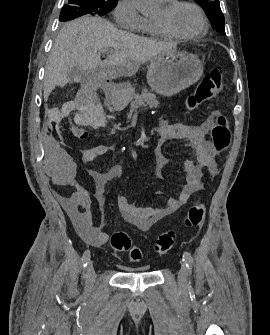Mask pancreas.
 I'll use <instances>...</instances> for the list:
<instances>
[{"mask_svg": "<svg viewBox=\"0 0 270 335\" xmlns=\"http://www.w3.org/2000/svg\"><path fill=\"white\" fill-rule=\"evenodd\" d=\"M159 102L156 100L155 94H152V92H149V90H142L140 96L138 94H135L134 96V102H131V108L134 110V108H140V106H150V108H157ZM128 118H131V114H128Z\"/></svg>", "mask_w": 270, "mask_h": 335, "instance_id": "1", "label": "pancreas"}]
</instances>
